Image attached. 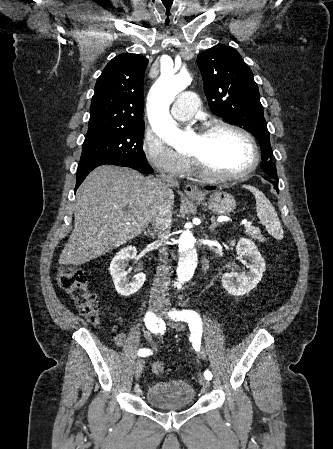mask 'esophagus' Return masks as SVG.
Returning <instances> with one entry per match:
<instances>
[{
  "label": "esophagus",
  "mask_w": 333,
  "mask_h": 449,
  "mask_svg": "<svg viewBox=\"0 0 333 449\" xmlns=\"http://www.w3.org/2000/svg\"><path fill=\"white\" fill-rule=\"evenodd\" d=\"M184 191H185L186 195H188L189 197H200L201 196V192L198 190L197 186H195V185H190V184L185 185Z\"/></svg>",
  "instance_id": "34e87169"
}]
</instances>
